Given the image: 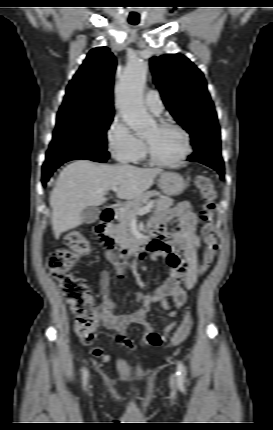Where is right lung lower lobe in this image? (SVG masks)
Segmentation results:
<instances>
[{
  "mask_svg": "<svg viewBox=\"0 0 273 430\" xmlns=\"http://www.w3.org/2000/svg\"><path fill=\"white\" fill-rule=\"evenodd\" d=\"M109 158V153L106 152L104 154H99V155H94V156H89V157H85L83 159H88V160H92V161H96V162H105L107 161V159ZM64 162H60L54 166H50V167H43V177H42V182L45 185L46 182L49 180V177L52 175V173L60 166L62 165Z\"/></svg>",
  "mask_w": 273,
  "mask_h": 430,
  "instance_id": "98d812e1",
  "label": "right lung lower lobe"
}]
</instances>
